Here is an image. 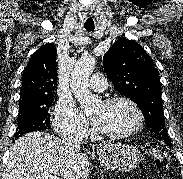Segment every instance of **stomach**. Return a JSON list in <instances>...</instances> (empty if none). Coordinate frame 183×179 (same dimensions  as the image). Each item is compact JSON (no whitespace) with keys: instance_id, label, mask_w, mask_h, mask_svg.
Wrapping results in <instances>:
<instances>
[{"instance_id":"1","label":"stomach","mask_w":183,"mask_h":179,"mask_svg":"<svg viewBox=\"0 0 183 179\" xmlns=\"http://www.w3.org/2000/svg\"><path fill=\"white\" fill-rule=\"evenodd\" d=\"M100 164L113 171H131L137 167L144 156L137 147L122 143H105L97 150Z\"/></svg>"}]
</instances>
